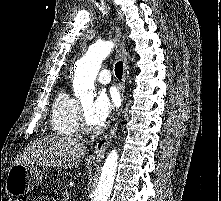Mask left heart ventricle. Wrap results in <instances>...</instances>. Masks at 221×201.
<instances>
[{
    "label": "left heart ventricle",
    "mask_w": 221,
    "mask_h": 201,
    "mask_svg": "<svg viewBox=\"0 0 221 201\" xmlns=\"http://www.w3.org/2000/svg\"><path fill=\"white\" fill-rule=\"evenodd\" d=\"M92 102L91 101H89V102H86V103H84L83 104V108H84V110H85V112H86V115H87V118H88V120H89V122L92 124V125H94V126H98V125H100L99 123H97L96 121H94L93 120V118L91 117V107H92Z\"/></svg>",
    "instance_id": "obj_1"
}]
</instances>
